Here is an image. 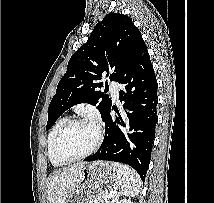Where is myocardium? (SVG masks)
Wrapping results in <instances>:
<instances>
[{"label": "myocardium", "mask_w": 214, "mask_h": 203, "mask_svg": "<svg viewBox=\"0 0 214 203\" xmlns=\"http://www.w3.org/2000/svg\"><path fill=\"white\" fill-rule=\"evenodd\" d=\"M92 122L96 129H97V138L95 140V143L93 144V146L87 151L85 152L84 154L78 156V157H75V158H72V159H66V158H63L60 154V151H59V145H60V141H61V138L62 136L64 135V133L73 125L77 124V123H82V122ZM103 137H104V131H103V128L101 126L100 123H98L97 121L95 120H90L88 118H83V117H77V118H72V119H69L60 129L59 131L57 132L56 136H55V139H54V144H53V153H54V156L56 157V159L63 163V164H69V163H74V162H77V161H80V160H83L87 157H89L90 155H92L94 152H96V150L100 147L102 141H103Z\"/></svg>", "instance_id": "obj_1"}]
</instances>
